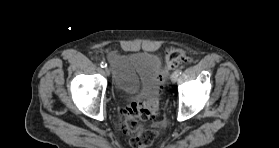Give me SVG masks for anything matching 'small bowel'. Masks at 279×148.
Returning <instances> with one entry per match:
<instances>
[{"label": "small bowel", "instance_id": "obj_1", "mask_svg": "<svg viewBox=\"0 0 279 148\" xmlns=\"http://www.w3.org/2000/svg\"><path fill=\"white\" fill-rule=\"evenodd\" d=\"M109 58L114 66L117 85L128 91H135L138 85L136 73L129 67L123 57L112 54Z\"/></svg>", "mask_w": 279, "mask_h": 148}]
</instances>
